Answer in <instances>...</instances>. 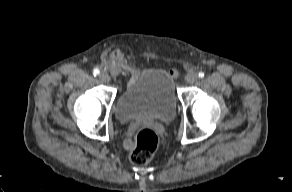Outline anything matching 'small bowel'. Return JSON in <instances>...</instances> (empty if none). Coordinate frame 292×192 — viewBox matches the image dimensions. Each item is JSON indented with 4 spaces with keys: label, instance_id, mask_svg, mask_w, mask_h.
Here are the masks:
<instances>
[{
    "label": "small bowel",
    "instance_id": "small-bowel-1",
    "mask_svg": "<svg viewBox=\"0 0 292 192\" xmlns=\"http://www.w3.org/2000/svg\"><path fill=\"white\" fill-rule=\"evenodd\" d=\"M172 74H174V72H172ZM164 143H167V140H164ZM154 145H157V142H154ZM123 146L125 149L130 150L133 148L134 143L132 140L127 139L124 141ZM156 153H159V150H156Z\"/></svg>",
    "mask_w": 292,
    "mask_h": 192
}]
</instances>
